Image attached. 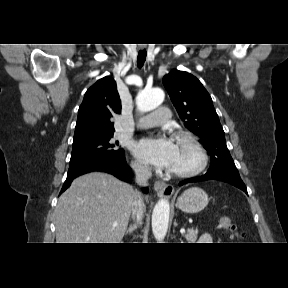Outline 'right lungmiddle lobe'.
Masks as SVG:
<instances>
[{
	"mask_svg": "<svg viewBox=\"0 0 288 288\" xmlns=\"http://www.w3.org/2000/svg\"><path fill=\"white\" fill-rule=\"evenodd\" d=\"M112 137L113 134L73 144L70 163L95 156H107L114 159L125 157L124 150L118 147V142L111 141Z\"/></svg>",
	"mask_w": 288,
	"mask_h": 288,
	"instance_id": "dd1d6c3e",
	"label": "right lung middle lobe"
}]
</instances>
